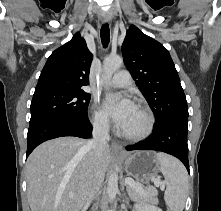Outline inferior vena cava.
<instances>
[{
  "mask_svg": "<svg viewBox=\"0 0 221 211\" xmlns=\"http://www.w3.org/2000/svg\"><path fill=\"white\" fill-rule=\"evenodd\" d=\"M93 138L89 141V145L92 148L96 160L94 178L92 187L90 189L87 203L92 202L98 195L100 187L104 181L105 172L101 167L100 160L102 154L106 148L109 147V124L106 120H99L94 123L92 132Z\"/></svg>",
  "mask_w": 221,
  "mask_h": 211,
  "instance_id": "obj_1",
  "label": "inferior vena cava"
}]
</instances>
